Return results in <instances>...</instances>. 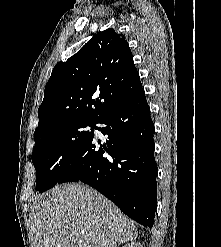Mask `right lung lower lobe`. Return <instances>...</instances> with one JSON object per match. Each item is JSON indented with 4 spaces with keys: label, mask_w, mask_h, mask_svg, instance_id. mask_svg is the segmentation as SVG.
<instances>
[{
    "label": "right lung lower lobe",
    "mask_w": 221,
    "mask_h": 247,
    "mask_svg": "<svg viewBox=\"0 0 221 247\" xmlns=\"http://www.w3.org/2000/svg\"><path fill=\"white\" fill-rule=\"evenodd\" d=\"M95 129L108 135L92 139L58 184L83 182L113 201L146 228L153 226L158 172L154 159V124L144 89L104 114Z\"/></svg>",
    "instance_id": "98d812e1"
}]
</instances>
